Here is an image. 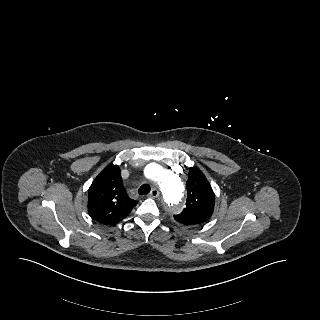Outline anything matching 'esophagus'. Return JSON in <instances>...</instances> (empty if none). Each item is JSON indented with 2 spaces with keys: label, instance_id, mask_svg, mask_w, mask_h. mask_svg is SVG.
<instances>
[{
  "label": "esophagus",
  "instance_id": "1",
  "mask_svg": "<svg viewBox=\"0 0 320 320\" xmlns=\"http://www.w3.org/2000/svg\"><path fill=\"white\" fill-rule=\"evenodd\" d=\"M159 194H160L159 190L154 188L151 190L148 196L151 198H156L159 196Z\"/></svg>",
  "mask_w": 320,
  "mask_h": 320
}]
</instances>
